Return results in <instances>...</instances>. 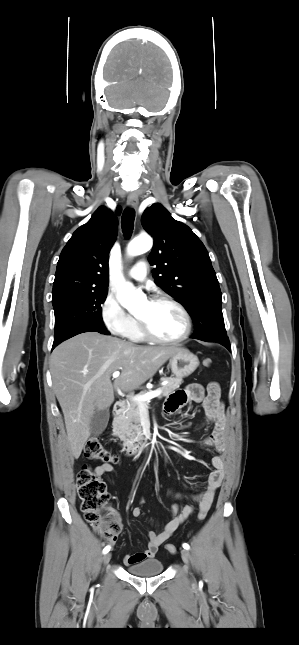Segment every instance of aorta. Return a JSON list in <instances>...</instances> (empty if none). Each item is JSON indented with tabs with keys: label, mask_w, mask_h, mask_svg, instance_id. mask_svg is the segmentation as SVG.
<instances>
[{
	"label": "aorta",
	"mask_w": 299,
	"mask_h": 645,
	"mask_svg": "<svg viewBox=\"0 0 299 645\" xmlns=\"http://www.w3.org/2000/svg\"><path fill=\"white\" fill-rule=\"evenodd\" d=\"M152 238L144 235L133 239L128 247L127 253L130 256H137L146 253L152 248ZM119 303L129 312L133 313L140 308L141 302L145 299L142 291L136 290L131 283H123L119 286L117 292Z\"/></svg>",
	"instance_id": "obj_1"
}]
</instances>
